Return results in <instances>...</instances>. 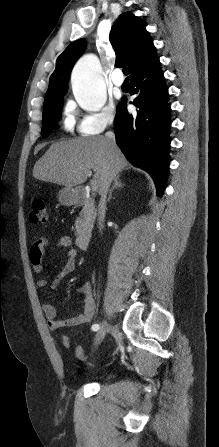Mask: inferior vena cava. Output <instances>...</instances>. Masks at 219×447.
<instances>
[{
	"label": "inferior vena cava",
	"mask_w": 219,
	"mask_h": 447,
	"mask_svg": "<svg viewBox=\"0 0 219 447\" xmlns=\"http://www.w3.org/2000/svg\"><path fill=\"white\" fill-rule=\"evenodd\" d=\"M105 136L108 139L110 145H114L115 144V135H114L113 132L108 131L105 134ZM115 177H116V171L114 169H112L108 173V175L106 176V178L104 180V183H103V186H102V188L100 190V195H101L100 208L102 210H104V208H105L106 196H107V193H108V189L110 187V184H111L112 180H114ZM103 223H104V215L102 214V215H100V217L98 219V225H99V229L100 230L104 227Z\"/></svg>",
	"instance_id": "1"
}]
</instances>
